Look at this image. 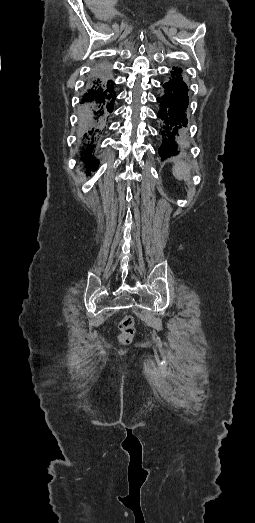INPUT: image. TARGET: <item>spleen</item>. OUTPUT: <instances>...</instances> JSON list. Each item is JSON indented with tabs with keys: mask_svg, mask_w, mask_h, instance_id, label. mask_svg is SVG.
<instances>
[{
	"mask_svg": "<svg viewBox=\"0 0 255 523\" xmlns=\"http://www.w3.org/2000/svg\"><path fill=\"white\" fill-rule=\"evenodd\" d=\"M190 166L187 164V162H183V160H178V162H175L172 172L173 176L177 178V180H184V182H188L190 180Z\"/></svg>",
	"mask_w": 255,
	"mask_h": 523,
	"instance_id": "spleen-1",
	"label": "spleen"
}]
</instances>
